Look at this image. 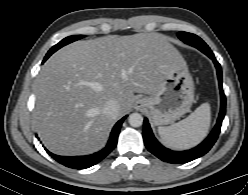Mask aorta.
<instances>
[{"instance_id":"762f6f07","label":"aorta","mask_w":248,"mask_h":195,"mask_svg":"<svg viewBox=\"0 0 248 195\" xmlns=\"http://www.w3.org/2000/svg\"><path fill=\"white\" fill-rule=\"evenodd\" d=\"M128 121L132 127H140L143 124V117L139 113H132Z\"/></svg>"}]
</instances>
